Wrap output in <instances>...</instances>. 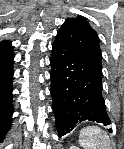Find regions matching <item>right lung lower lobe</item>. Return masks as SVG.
I'll return each instance as SVG.
<instances>
[{"mask_svg": "<svg viewBox=\"0 0 124 149\" xmlns=\"http://www.w3.org/2000/svg\"><path fill=\"white\" fill-rule=\"evenodd\" d=\"M13 52L9 41L0 43V142L12 121Z\"/></svg>", "mask_w": 124, "mask_h": 149, "instance_id": "obj_1", "label": "right lung lower lobe"}]
</instances>
